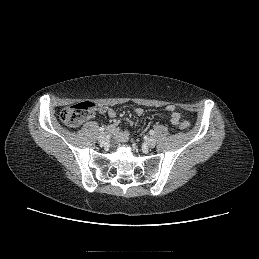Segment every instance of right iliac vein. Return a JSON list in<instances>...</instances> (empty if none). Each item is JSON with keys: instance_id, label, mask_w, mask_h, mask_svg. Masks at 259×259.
<instances>
[{"instance_id": "1", "label": "right iliac vein", "mask_w": 259, "mask_h": 259, "mask_svg": "<svg viewBox=\"0 0 259 259\" xmlns=\"http://www.w3.org/2000/svg\"><path fill=\"white\" fill-rule=\"evenodd\" d=\"M98 140L100 143L104 144L107 142V136L105 133H101L98 137Z\"/></svg>"}]
</instances>
